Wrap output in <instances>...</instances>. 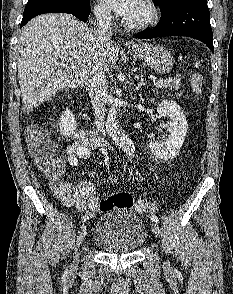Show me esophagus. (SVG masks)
Instances as JSON below:
<instances>
[{"instance_id": "1", "label": "esophagus", "mask_w": 233, "mask_h": 294, "mask_svg": "<svg viewBox=\"0 0 233 294\" xmlns=\"http://www.w3.org/2000/svg\"><path fill=\"white\" fill-rule=\"evenodd\" d=\"M126 45H127L128 47H134V46H135V43L132 42V41H127V42H126Z\"/></svg>"}]
</instances>
